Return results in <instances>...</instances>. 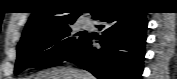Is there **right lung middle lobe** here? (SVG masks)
Listing matches in <instances>:
<instances>
[{
  "label": "right lung middle lobe",
  "instance_id": "1",
  "mask_svg": "<svg viewBox=\"0 0 177 79\" xmlns=\"http://www.w3.org/2000/svg\"><path fill=\"white\" fill-rule=\"evenodd\" d=\"M72 24L43 28L21 38L17 46L15 74L27 67L47 68L59 65L83 41L70 36Z\"/></svg>",
  "mask_w": 177,
  "mask_h": 79
}]
</instances>
